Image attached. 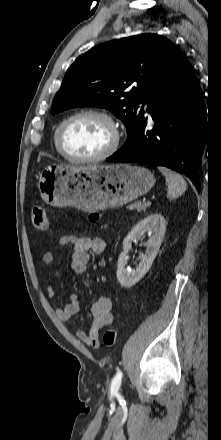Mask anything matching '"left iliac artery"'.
Instances as JSON below:
<instances>
[{
  "label": "left iliac artery",
  "mask_w": 221,
  "mask_h": 440,
  "mask_svg": "<svg viewBox=\"0 0 221 440\" xmlns=\"http://www.w3.org/2000/svg\"><path fill=\"white\" fill-rule=\"evenodd\" d=\"M122 376H123L122 371L118 370L116 375L112 379L111 386H110V391L112 394L118 393V390L120 388L121 381H122Z\"/></svg>",
  "instance_id": "1"
}]
</instances>
